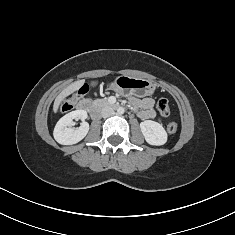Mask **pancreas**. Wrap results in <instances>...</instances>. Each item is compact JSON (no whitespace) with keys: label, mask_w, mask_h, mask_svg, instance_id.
Returning <instances> with one entry per match:
<instances>
[{"label":"pancreas","mask_w":235,"mask_h":235,"mask_svg":"<svg viewBox=\"0 0 235 235\" xmlns=\"http://www.w3.org/2000/svg\"><path fill=\"white\" fill-rule=\"evenodd\" d=\"M94 104L98 106H105L108 104V101L106 99H96Z\"/></svg>","instance_id":"obj_1"}]
</instances>
